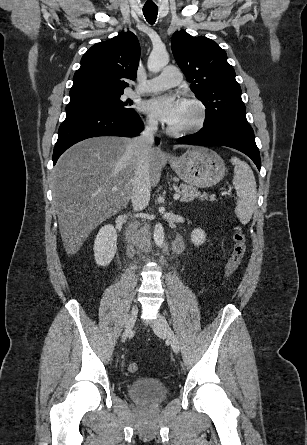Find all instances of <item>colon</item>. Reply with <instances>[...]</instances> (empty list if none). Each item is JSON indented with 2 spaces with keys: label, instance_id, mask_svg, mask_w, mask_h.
Listing matches in <instances>:
<instances>
[{
  "label": "colon",
  "instance_id": "obj_1",
  "mask_svg": "<svg viewBox=\"0 0 307 445\" xmlns=\"http://www.w3.org/2000/svg\"><path fill=\"white\" fill-rule=\"evenodd\" d=\"M233 249L229 257V260L225 266V278H230L237 268L239 267L245 251H246V236L241 227H236L232 234ZM128 371L130 373H137L139 371V366L136 363H131L128 366Z\"/></svg>",
  "mask_w": 307,
  "mask_h": 445
}]
</instances>
